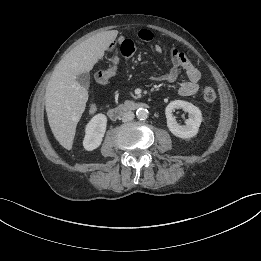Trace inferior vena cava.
I'll return each mask as SVG.
<instances>
[{"instance_id":"inferior-vena-cava-1","label":"inferior vena cava","mask_w":261,"mask_h":261,"mask_svg":"<svg viewBox=\"0 0 261 261\" xmlns=\"http://www.w3.org/2000/svg\"><path fill=\"white\" fill-rule=\"evenodd\" d=\"M133 118H134V113H133L132 111H126V112H124V113L122 114V117H121V119H122L123 122L131 121V120H133Z\"/></svg>"}]
</instances>
